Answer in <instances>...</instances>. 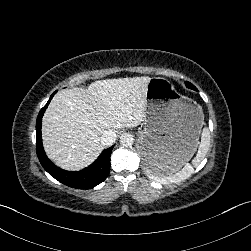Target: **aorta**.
<instances>
[{
    "instance_id": "obj_1",
    "label": "aorta",
    "mask_w": 251,
    "mask_h": 251,
    "mask_svg": "<svg viewBox=\"0 0 251 251\" xmlns=\"http://www.w3.org/2000/svg\"><path fill=\"white\" fill-rule=\"evenodd\" d=\"M134 143V137L130 133H123L120 136V144L122 146L128 147Z\"/></svg>"
}]
</instances>
